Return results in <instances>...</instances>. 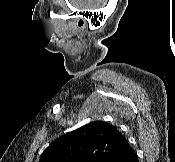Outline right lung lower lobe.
I'll list each match as a JSON object with an SVG mask.
<instances>
[{
  "label": "right lung lower lobe",
  "instance_id": "right-lung-lower-lobe-1",
  "mask_svg": "<svg viewBox=\"0 0 175 162\" xmlns=\"http://www.w3.org/2000/svg\"><path fill=\"white\" fill-rule=\"evenodd\" d=\"M113 162H139L138 156L133 149L117 157Z\"/></svg>",
  "mask_w": 175,
  "mask_h": 162
}]
</instances>
